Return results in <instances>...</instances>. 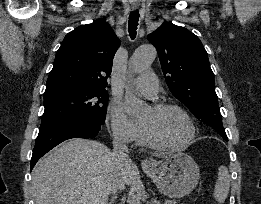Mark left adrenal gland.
<instances>
[{"label":"left adrenal gland","mask_w":261,"mask_h":204,"mask_svg":"<svg viewBox=\"0 0 261 204\" xmlns=\"http://www.w3.org/2000/svg\"><path fill=\"white\" fill-rule=\"evenodd\" d=\"M152 204H160V202L157 201L156 199H154V200L152 201Z\"/></svg>","instance_id":"obj_1"}]
</instances>
